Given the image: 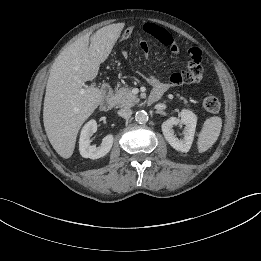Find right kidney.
Here are the masks:
<instances>
[{"mask_svg":"<svg viewBox=\"0 0 261 261\" xmlns=\"http://www.w3.org/2000/svg\"><path fill=\"white\" fill-rule=\"evenodd\" d=\"M97 131V122L92 119L82 128L79 139V151L82 157L98 159L105 156L112 148L114 137L109 134L103 138L99 147L90 144V137Z\"/></svg>","mask_w":261,"mask_h":261,"instance_id":"obj_1","label":"right kidney"}]
</instances>
